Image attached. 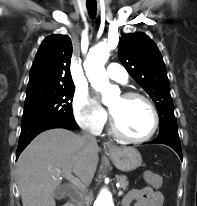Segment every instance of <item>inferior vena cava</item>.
I'll return each mask as SVG.
<instances>
[{"instance_id": "602c4592", "label": "inferior vena cava", "mask_w": 197, "mask_h": 206, "mask_svg": "<svg viewBox=\"0 0 197 206\" xmlns=\"http://www.w3.org/2000/svg\"><path fill=\"white\" fill-rule=\"evenodd\" d=\"M83 139L89 145H97L96 138L93 135H91L90 133L86 132V131L83 133ZM83 206H85V204Z\"/></svg>"}]
</instances>
